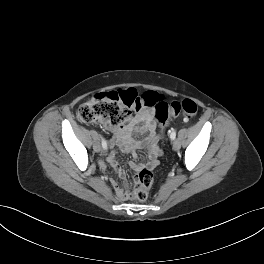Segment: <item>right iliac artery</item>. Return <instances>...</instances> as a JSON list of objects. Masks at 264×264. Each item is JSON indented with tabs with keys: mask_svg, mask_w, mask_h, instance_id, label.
Instances as JSON below:
<instances>
[{
	"mask_svg": "<svg viewBox=\"0 0 264 264\" xmlns=\"http://www.w3.org/2000/svg\"><path fill=\"white\" fill-rule=\"evenodd\" d=\"M102 147H103L104 149L107 148V143H106L105 139H102Z\"/></svg>",
	"mask_w": 264,
	"mask_h": 264,
	"instance_id": "right-iliac-artery-1",
	"label": "right iliac artery"
}]
</instances>
